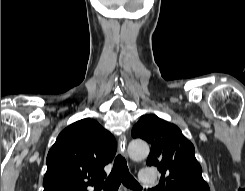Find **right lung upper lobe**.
<instances>
[{"instance_id": "right-lung-upper-lobe-1", "label": "right lung upper lobe", "mask_w": 245, "mask_h": 191, "mask_svg": "<svg viewBox=\"0 0 245 191\" xmlns=\"http://www.w3.org/2000/svg\"><path fill=\"white\" fill-rule=\"evenodd\" d=\"M117 150L113 135L97 121L86 118L65 128L49 150L44 191H86L101 188L104 166Z\"/></svg>"}]
</instances>
